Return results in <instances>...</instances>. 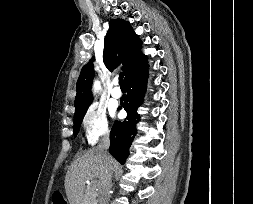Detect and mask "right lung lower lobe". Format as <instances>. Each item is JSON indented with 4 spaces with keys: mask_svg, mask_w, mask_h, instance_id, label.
<instances>
[{
    "mask_svg": "<svg viewBox=\"0 0 253 204\" xmlns=\"http://www.w3.org/2000/svg\"><path fill=\"white\" fill-rule=\"evenodd\" d=\"M147 57L144 56L137 66L126 76L128 88L126 96L121 98V105L127 112V118L116 121L110 132V153L123 164L129 153V147L136 134V123L139 121L137 107L140 106L146 91L148 75ZM121 108V107H119Z\"/></svg>",
    "mask_w": 253,
    "mask_h": 204,
    "instance_id": "98d812e1",
    "label": "right lung lower lobe"
}]
</instances>
